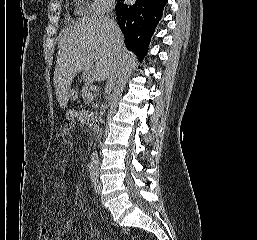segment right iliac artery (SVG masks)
Listing matches in <instances>:
<instances>
[{
    "mask_svg": "<svg viewBox=\"0 0 257 240\" xmlns=\"http://www.w3.org/2000/svg\"><path fill=\"white\" fill-rule=\"evenodd\" d=\"M93 186H94L95 192L97 194H99L100 191H99V182H98V180L93 181Z\"/></svg>",
    "mask_w": 257,
    "mask_h": 240,
    "instance_id": "right-iliac-artery-1",
    "label": "right iliac artery"
}]
</instances>
